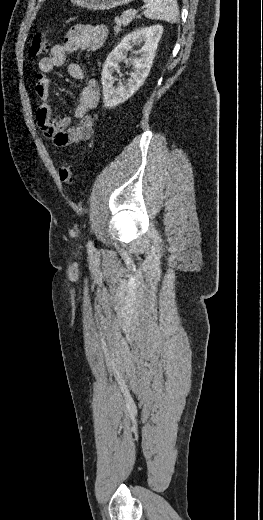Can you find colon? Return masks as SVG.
<instances>
[{"label":"colon","instance_id":"1","mask_svg":"<svg viewBox=\"0 0 263 520\" xmlns=\"http://www.w3.org/2000/svg\"><path fill=\"white\" fill-rule=\"evenodd\" d=\"M50 41L49 35L45 31H41L36 33L31 41L29 47V56L32 58H37L44 55L49 48ZM57 172L60 180L66 184H72L75 178L74 168L67 162H61L57 166Z\"/></svg>","mask_w":263,"mask_h":520}]
</instances>
